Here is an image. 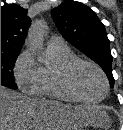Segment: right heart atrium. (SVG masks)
Segmentation results:
<instances>
[{"label": "right heart atrium", "instance_id": "right-heart-atrium-1", "mask_svg": "<svg viewBox=\"0 0 123 130\" xmlns=\"http://www.w3.org/2000/svg\"><path fill=\"white\" fill-rule=\"evenodd\" d=\"M42 69L30 49L24 50L17 58L14 76L19 88L31 95H37L41 83Z\"/></svg>", "mask_w": 123, "mask_h": 130}]
</instances>
